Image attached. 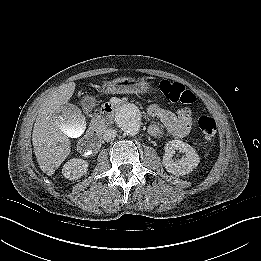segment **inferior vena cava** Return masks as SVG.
<instances>
[{"label": "inferior vena cava", "instance_id": "obj_1", "mask_svg": "<svg viewBox=\"0 0 261 261\" xmlns=\"http://www.w3.org/2000/svg\"><path fill=\"white\" fill-rule=\"evenodd\" d=\"M116 134H117V131L115 129H107L104 134H103V139L106 141V142H110L112 140L115 139L116 137Z\"/></svg>", "mask_w": 261, "mask_h": 261}]
</instances>
